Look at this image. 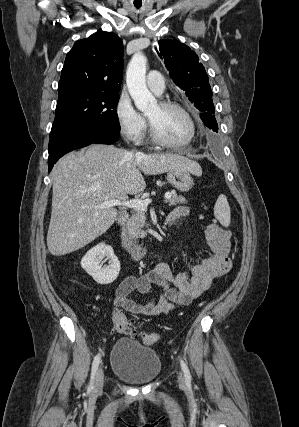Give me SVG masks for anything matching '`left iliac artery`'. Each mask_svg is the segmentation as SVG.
Here are the masks:
<instances>
[{"label": "left iliac artery", "mask_w": 299, "mask_h": 427, "mask_svg": "<svg viewBox=\"0 0 299 427\" xmlns=\"http://www.w3.org/2000/svg\"><path fill=\"white\" fill-rule=\"evenodd\" d=\"M180 364H181V368H182V371L184 373L185 379L186 380H190L191 379V375H190V371H189L186 363L182 359H180Z\"/></svg>", "instance_id": "44dca946"}]
</instances>
